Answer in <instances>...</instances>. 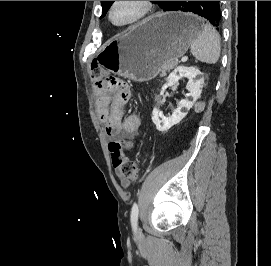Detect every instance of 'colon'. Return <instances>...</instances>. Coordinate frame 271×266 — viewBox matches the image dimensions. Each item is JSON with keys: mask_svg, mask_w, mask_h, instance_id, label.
Returning a JSON list of instances; mask_svg holds the SVG:
<instances>
[{"mask_svg": "<svg viewBox=\"0 0 271 266\" xmlns=\"http://www.w3.org/2000/svg\"><path fill=\"white\" fill-rule=\"evenodd\" d=\"M91 80L97 90L110 92L118 97L127 98L130 90L123 80L108 76L106 71L98 65L91 67ZM109 151L113 166L119 175L125 180H135L138 177V166L131 160L123 150V141L114 140L109 143Z\"/></svg>", "mask_w": 271, "mask_h": 266, "instance_id": "1", "label": "colon"}]
</instances>
